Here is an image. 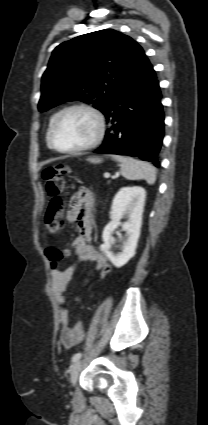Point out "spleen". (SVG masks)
Here are the masks:
<instances>
[{"label":"spleen","mask_w":208,"mask_h":425,"mask_svg":"<svg viewBox=\"0 0 208 425\" xmlns=\"http://www.w3.org/2000/svg\"><path fill=\"white\" fill-rule=\"evenodd\" d=\"M113 158L121 163V174L128 180L144 179L149 185L156 181V169L150 163L131 157L114 155Z\"/></svg>","instance_id":"1"}]
</instances>
